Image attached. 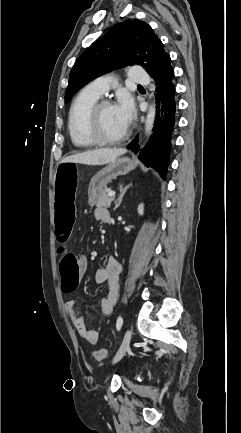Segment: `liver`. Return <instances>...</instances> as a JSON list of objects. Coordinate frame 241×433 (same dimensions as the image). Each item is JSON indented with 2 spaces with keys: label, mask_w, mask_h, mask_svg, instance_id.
Here are the masks:
<instances>
[{
  "label": "liver",
  "mask_w": 241,
  "mask_h": 433,
  "mask_svg": "<svg viewBox=\"0 0 241 433\" xmlns=\"http://www.w3.org/2000/svg\"><path fill=\"white\" fill-rule=\"evenodd\" d=\"M127 152L126 149H96L65 157L61 162H74L85 165H104Z\"/></svg>",
  "instance_id": "obj_1"
}]
</instances>
